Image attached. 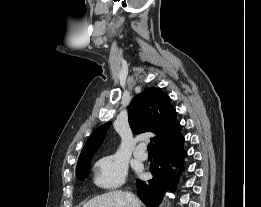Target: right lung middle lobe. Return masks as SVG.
I'll return each mask as SVG.
<instances>
[{
  "label": "right lung middle lobe",
  "mask_w": 261,
  "mask_h": 207,
  "mask_svg": "<svg viewBox=\"0 0 261 207\" xmlns=\"http://www.w3.org/2000/svg\"><path fill=\"white\" fill-rule=\"evenodd\" d=\"M92 157L82 160L77 164L76 175L79 180H84L89 175L90 161Z\"/></svg>",
  "instance_id": "1"
}]
</instances>
